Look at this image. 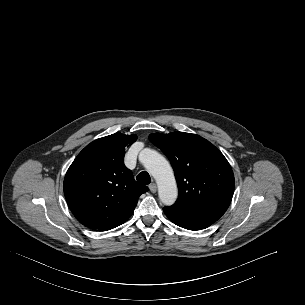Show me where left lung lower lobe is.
Instances as JSON below:
<instances>
[{
    "label": "left lung lower lobe",
    "instance_id": "0a47b994",
    "mask_svg": "<svg viewBox=\"0 0 305 305\" xmlns=\"http://www.w3.org/2000/svg\"><path fill=\"white\" fill-rule=\"evenodd\" d=\"M163 211L173 223L188 230L205 229L222 216L219 214L186 215L169 211L166 208H163Z\"/></svg>",
    "mask_w": 305,
    "mask_h": 305
}]
</instances>
